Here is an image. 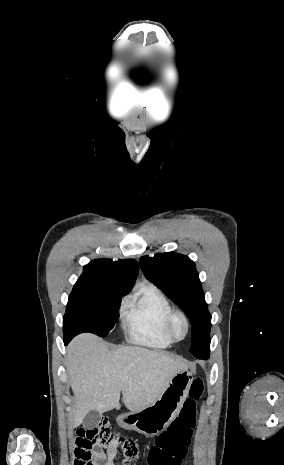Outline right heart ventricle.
I'll return each mask as SVG.
<instances>
[{
	"label": "right heart ventricle",
	"instance_id": "right-heart-ventricle-1",
	"mask_svg": "<svg viewBox=\"0 0 284 465\" xmlns=\"http://www.w3.org/2000/svg\"><path fill=\"white\" fill-rule=\"evenodd\" d=\"M173 310L168 297L155 285L147 284L122 310L121 328L126 339L139 346H171L164 326Z\"/></svg>",
	"mask_w": 284,
	"mask_h": 465
}]
</instances>
